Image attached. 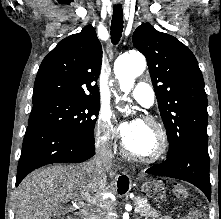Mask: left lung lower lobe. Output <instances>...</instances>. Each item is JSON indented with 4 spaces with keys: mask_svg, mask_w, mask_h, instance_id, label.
<instances>
[{
    "mask_svg": "<svg viewBox=\"0 0 221 219\" xmlns=\"http://www.w3.org/2000/svg\"><path fill=\"white\" fill-rule=\"evenodd\" d=\"M148 174L187 181L202 190L211 200L208 143L191 142L165 162L152 166Z\"/></svg>",
    "mask_w": 221,
    "mask_h": 219,
    "instance_id": "left-lung-lower-lobe-1",
    "label": "left lung lower lobe"
}]
</instances>
